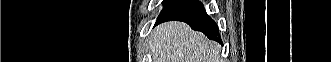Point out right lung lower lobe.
<instances>
[{"instance_id":"98d812e1","label":"right lung lower lobe","mask_w":331,"mask_h":62,"mask_svg":"<svg viewBox=\"0 0 331 62\" xmlns=\"http://www.w3.org/2000/svg\"><path fill=\"white\" fill-rule=\"evenodd\" d=\"M170 20L184 21L193 30L201 31L209 39L221 42L216 23L207 15L202 3L197 0H179L159 15L156 24Z\"/></svg>"}]
</instances>
